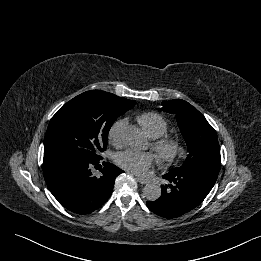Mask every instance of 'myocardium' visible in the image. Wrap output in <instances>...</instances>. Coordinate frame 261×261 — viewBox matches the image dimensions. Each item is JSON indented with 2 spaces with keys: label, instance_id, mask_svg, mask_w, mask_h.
Listing matches in <instances>:
<instances>
[{
  "label": "myocardium",
  "instance_id": "myocardium-1",
  "mask_svg": "<svg viewBox=\"0 0 261 261\" xmlns=\"http://www.w3.org/2000/svg\"><path fill=\"white\" fill-rule=\"evenodd\" d=\"M151 148L155 152L158 162L161 165H168L179 156L181 143L176 136L163 135L152 141Z\"/></svg>",
  "mask_w": 261,
  "mask_h": 261
}]
</instances>
